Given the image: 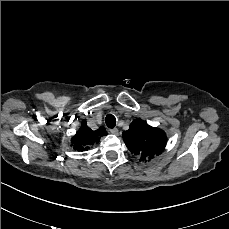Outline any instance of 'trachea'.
<instances>
[{"instance_id":"trachea-1","label":"trachea","mask_w":229,"mask_h":229,"mask_svg":"<svg viewBox=\"0 0 229 229\" xmlns=\"http://www.w3.org/2000/svg\"><path fill=\"white\" fill-rule=\"evenodd\" d=\"M105 123L109 128H114L116 125V118L112 114H108L105 118Z\"/></svg>"}]
</instances>
